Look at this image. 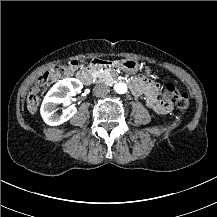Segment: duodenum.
<instances>
[{
	"label": "duodenum",
	"mask_w": 217,
	"mask_h": 217,
	"mask_svg": "<svg viewBox=\"0 0 217 217\" xmlns=\"http://www.w3.org/2000/svg\"><path fill=\"white\" fill-rule=\"evenodd\" d=\"M116 65L117 62L113 60H105L100 58L94 59L91 64L83 70L81 74V80L88 84L92 81L94 69L99 67H115ZM129 87L133 93L140 89L138 82L134 80L129 83Z\"/></svg>",
	"instance_id": "duodenum-1"
}]
</instances>
